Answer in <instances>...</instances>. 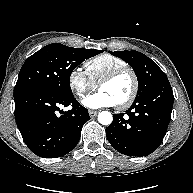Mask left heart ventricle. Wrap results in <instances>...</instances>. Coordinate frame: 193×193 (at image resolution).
Here are the masks:
<instances>
[{
  "label": "left heart ventricle",
  "instance_id": "obj_1",
  "mask_svg": "<svg viewBox=\"0 0 193 193\" xmlns=\"http://www.w3.org/2000/svg\"><path fill=\"white\" fill-rule=\"evenodd\" d=\"M133 88V79L129 73L122 74L115 80L102 85L99 90L109 94L117 104L124 102Z\"/></svg>",
  "mask_w": 193,
  "mask_h": 193
}]
</instances>
